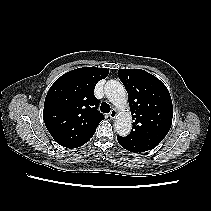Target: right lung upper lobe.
<instances>
[{"mask_svg":"<svg viewBox=\"0 0 211 211\" xmlns=\"http://www.w3.org/2000/svg\"><path fill=\"white\" fill-rule=\"evenodd\" d=\"M106 68L86 67L72 70L49 89L44 103L45 125L61 146L77 148L92 138L103 115L97 110L94 87L107 77Z\"/></svg>","mask_w":211,"mask_h":211,"instance_id":"obj_1","label":"right lung upper lobe"}]
</instances>
